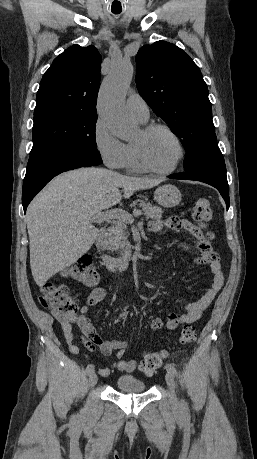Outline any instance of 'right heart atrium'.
Here are the masks:
<instances>
[{"instance_id":"d8ad5b80","label":"right heart atrium","mask_w":257,"mask_h":459,"mask_svg":"<svg viewBox=\"0 0 257 459\" xmlns=\"http://www.w3.org/2000/svg\"><path fill=\"white\" fill-rule=\"evenodd\" d=\"M95 148L106 166L120 169L127 159V146L118 139L102 119H97L93 129Z\"/></svg>"}]
</instances>
